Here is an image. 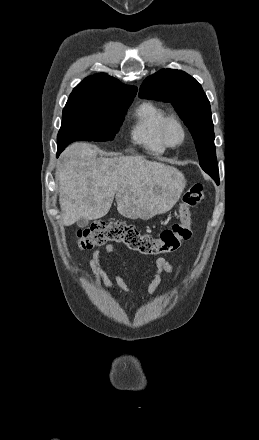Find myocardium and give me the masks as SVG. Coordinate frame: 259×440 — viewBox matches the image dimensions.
I'll use <instances>...</instances> for the list:
<instances>
[{"label":"myocardium","instance_id":"1","mask_svg":"<svg viewBox=\"0 0 259 440\" xmlns=\"http://www.w3.org/2000/svg\"><path fill=\"white\" fill-rule=\"evenodd\" d=\"M171 124L177 125L182 134L181 140L177 143H172L168 138V128ZM160 137L166 147L176 148L181 146L185 142L187 138V130L184 123L177 115L169 114L164 118V120L161 123Z\"/></svg>","mask_w":259,"mask_h":440}]
</instances>
